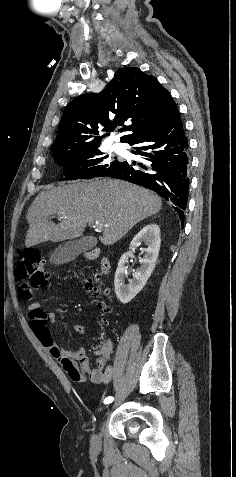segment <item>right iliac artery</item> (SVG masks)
Segmentation results:
<instances>
[{
    "mask_svg": "<svg viewBox=\"0 0 236 477\" xmlns=\"http://www.w3.org/2000/svg\"><path fill=\"white\" fill-rule=\"evenodd\" d=\"M113 400H114V398H113L112 396H108V397H106V398L104 399L103 403H104V404H110V405H111V404H113V402H114Z\"/></svg>",
    "mask_w": 236,
    "mask_h": 477,
    "instance_id": "82829eb1",
    "label": "right iliac artery"
}]
</instances>
